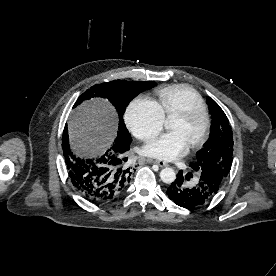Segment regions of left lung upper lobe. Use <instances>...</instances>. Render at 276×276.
<instances>
[{"label":"left lung upper lobe","mask_w":276,"mask_h":276,"mask_svg":"<svg viewBox=\"0 0 276 276\" xmlns=\"http://www.w3.org/2000/svg\"><path fill=\"white\" fill-rule=\"evenodd\" d=\"M207 104L212 115L210 137L203 149L197 152L196 160L191 164L195 171H208L225 182L232 165L233 159V138L232 130L220 106L210 97H207Z\"/></svg>","instance_id":"left-lung-upper-lobe-1"}]
</instances>
